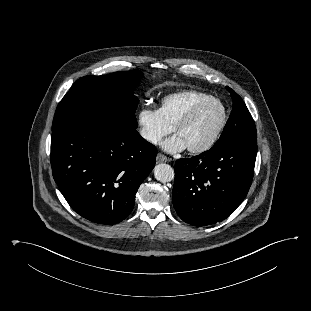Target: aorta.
Returning a JSON list of instances; mask_svg holds the SVG:
<instances>
[{"mask_svg":"<svg viewBox=\"0 0 311 311\" xmlns=\"http://www.w3.org/2000/svg\"><path fill=\"white\" fill-rule=\"evenodd\" d=\"M154 176L156 180L166 183L174 179V169L165 163H161L155 166Z\"/></svg>","mask_w":311,"mask_h":311,"instance_id":"obj_1","label":"aorta"}]
</instances>
